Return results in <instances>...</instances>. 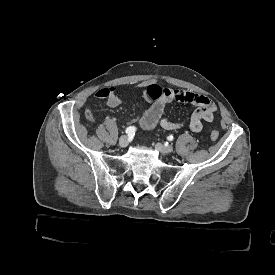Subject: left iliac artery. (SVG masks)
<instances>
[{"mask_svg":"<svg viewBox=\"0 0 275 275\" xmlns=\"http://www.w3.org/2000/svg\"><path fill=\"white\" fill-rule=\"evenodd\" d=\"M167 139H168L169 141H172L174 138H173L172 135H170V136L167 137Z\"/></svg>","mask_w":275,"mask_h":275,"instance_id":"44dca946","label":"left iliac artery"}]
</instances>
